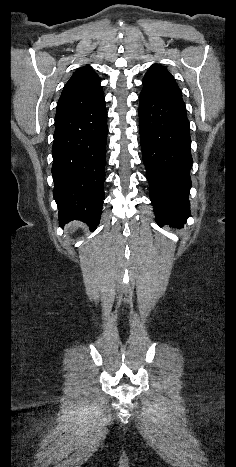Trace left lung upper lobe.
<instances>
[{
  "mask_svg": "<svg viewBox=\"0 0 236 467\" xmlns=\"http://www.w3.org/2000/svg\"><path fill=\"white\" fill-rule=\"evenodd\" d=\"M143 90L156 95L177 96L182 98V92L173 76L161 65L154 64L145 74Z\"/></svg>",
  "mask_w": 236,
  "mask_h": 467,
  "instance_id": "left-lung-upper-lobe-1",
  "label": "left lung upper lobe"
}]
</instances>
